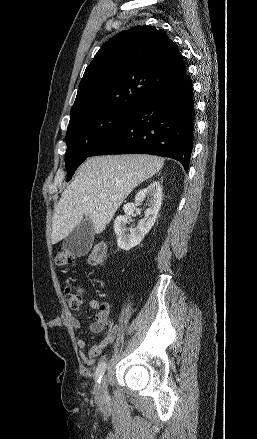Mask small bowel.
<instances>
[{
	"instance_id": "small-bowel-1",
	"label": "small bowel",
	"mask_w": 257,
	"mask_h": 439,
	"mask_svg": "<svg viewBox=\"0 0 257 439\" xmlns=\"http://www.w3.org/2000/svg\"><path fill=\"white\" fill-rule=\"evenodd\" d=\"M87 307L97 311L94 321H92L89 325L90 332H103L109 325V316L111 313L110 304L107 302H101L97 299H90L87 303ZM69 320L74 328H80V322L76 317L70 316ZM116 332V327L111 328L106 337L100 343L93 344L87 351H85L86 342L83 339H78L77 346L82 350L80 355L82 361L87 365H94L104 349L114 341Z\"/></svg>"
}]
</instances>
